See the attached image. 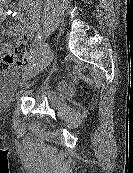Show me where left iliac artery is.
<instances>
[{
	"mask_svg": "<svg viewBox=\"0 0 133 173\" xmlns=\"http://www.w3.org/2000/svg\"><path fill=\"white\" fill-rule=\"evenodd\" d=\"M41 37L39 36V39ZM50 52V47L48 44H44L43 45V56H45L46 54H48ZM38 60V59H37ZM35 65V62L29 64L27 67H25V70L29 69L31 66Z\"/></svg>",
	"mask_w": 133,
	"mask_h": 173,
	"instance_id": "1",
	"label": "left iliac artery"
}]
</instances>
